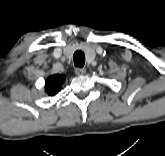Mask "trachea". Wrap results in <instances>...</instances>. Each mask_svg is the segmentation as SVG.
<instances>
[{"mask_svg": "<svg viewBox=\"0 0 165 156\" xmlns=\"http://www.w3.org/2000/svg\"><path fill=\"white\" fill-rule=\"evenodd\" d=\"M74 65L76 67H83L85 64V55L82 51H76L73 55Z\"/></svg>", "mask_w": 165, "mask_h": 156, "instance_id": "trachea-1", "label": "trachea"}]
</instances>
